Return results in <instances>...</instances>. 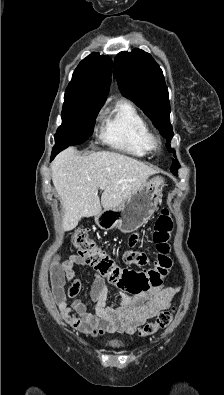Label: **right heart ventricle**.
<instances>
[{"instance_id": "right-heart-ventricle-1", "label": "right heart ventricle", "mask_w": 224, "mask_h": 395, "mask_svg": "<svg viewBox=\"0 0 224 395\" xmlns=\"http://www.w3.org/2000/svg\"><path fill=\"white\" fill-rule=\"evenodd\" d=\"M148 124L128 101L120 100L107 113L100 139L111 148L136 157L150 153Z\"/></svg>"}]
</instances>
